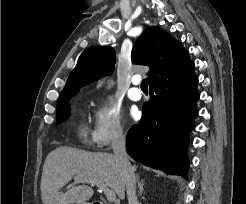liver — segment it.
Here are the masks:
<instances>
[{"instance_id": "liver-1", "label": "liver", "mask_w": 246, "mask_h": 204, "mask_svg": "<svg viewBox=\"0 0 246 204\" xmlns=\"http://www.w3.org/2000/svg\"><path fill=\"white\" fill-rule=\"evenodd\" d=\"M133 171L137 166H131ZM74 177L99 179L111 188L120 199L125 197L124 172L109 153H93L71 147H58L45 159L41 177V199L43 204H85L94 194L88 185H77L63 192V187Z\"/></svg>"}]
</instances>
